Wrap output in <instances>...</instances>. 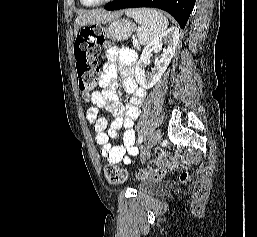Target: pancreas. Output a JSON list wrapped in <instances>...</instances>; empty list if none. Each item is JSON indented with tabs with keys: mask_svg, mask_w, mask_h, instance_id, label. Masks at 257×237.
<instances>
[{
	"mask_svg": "<svg viewBox=\"0 0 257 237\" xmlns=\"http://www.w3.org/2000/svg\"><path fill=\"white\" fill-rule=\"evenodd\" d=\"M135 47H136V49H138V50L140 49V46H139V45H137V46H135Z\"/></svg>",
	"mask_w": 257,
	"mask_h": 237,
	"instance_id": "1",
	"label": "pancreas"
}]
</instances>
